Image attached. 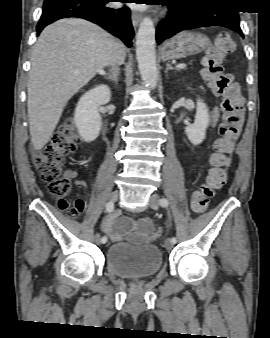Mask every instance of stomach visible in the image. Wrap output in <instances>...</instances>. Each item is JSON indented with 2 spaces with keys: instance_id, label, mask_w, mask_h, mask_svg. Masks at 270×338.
Listing matches in <instances>:
<instances>
[{
  "instance_id": "obj_1",
  "label": "stomach",
  "mask_w": 270,
  "mask_h": 338,
  "mask_svg": "<svg viewBox=\"0 0 270 338\" xmlns=\"http://www.w3.org/2000/svg\"><path fill=\"white\" fill-rule=\"evenodd\" d=\"M208 46L209 39L206 36L191 31H183L163 43L161 57L167 61L181 59L200 53Z\"/></svg>"
}]
</instances>
